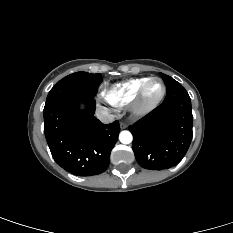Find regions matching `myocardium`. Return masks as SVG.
Instances as JSON below:
<instances>
[{"instance_id":"f54148a6","label":"myocardium","mask_w":233,"mask_h":233,"mask_svg":"<svg viewBox=\"0 0 233 233\" xmlns=\"http://www.w3.org/2000/svg\"><path fill=\"white\" fill-rule=\"evenodd\" d=\"M153 81H159L161 83L162 91L156 100L152 102H147L145 100V93H146L148 86ZM165 95H166V85L164 81L159 77H151L147 81H145L144 84L138 90L134 100L132 101V110L137 115L148 114L154 109H156L161 104Z\"/></svg>"}]
</instances>
